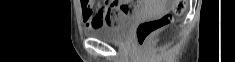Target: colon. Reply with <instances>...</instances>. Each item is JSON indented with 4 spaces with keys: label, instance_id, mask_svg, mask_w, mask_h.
Here are the masks:
<instances>
[{
    "label": "colon",
    "instance_id": "1",
    "mask_svg": "<svg viewBox=\"0 0 235 62\" xmlns=\"http://www.w3.org/2000/svg\"><path fill=\"white\" fill-rule=\"evenodd\" d=\"M185 8L186 0H174L172 13L141 22L136 29L138 44L144 46L155 32L170 24L173 21L174 15H181L185 11ZM121 15V9H114L110 15L108 24L115 25L118 23Z\"/></svg>",
    "mask_w": 235,
    "mask_h": 62
}]
</instances>
